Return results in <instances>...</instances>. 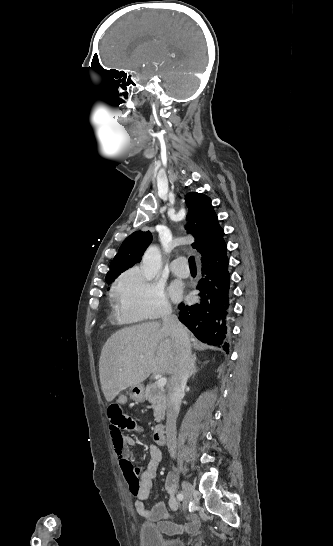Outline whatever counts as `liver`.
Segmentation results:
<instances>
[{"mask_svg": "<svg viewBox=\"0 0 333 546\" xmlns=\"http://www.w3.org/2000/svg\"><path fill=\"white\" fill-rule=\"evenodd\" d=\"M177 361L174 340L158 322L117 331L106 341L99 359L103 394L111 402L122 390L140 385L150 374H172Z\"/></svg>", "mask_w": 333, "mask_h": 546, "instance_id": "1", "label": "liver"}]
</instances>
